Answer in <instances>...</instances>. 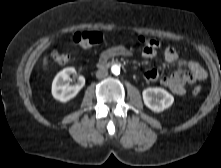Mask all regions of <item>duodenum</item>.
<instances>
[{"instance_id": "410a0bca", "label": "duodenum", "mask_w": 221, "mask_h": 168, "mask_svg": "<svg viewBox=\"0 0 221 168\" xmlns=\"http://www.w3.org/2000/svg\"><path fill=\"white\" fill-rule=\"evenodd\" d=\"M112 63H110V62H99L97 65H98V67H100V68H104V67H108V66H110Z\"/></svg>"}]
</instances>
